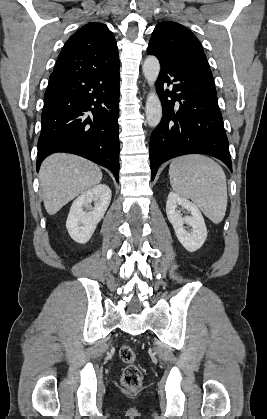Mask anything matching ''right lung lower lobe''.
I'll use <instances>...</instances> for the list:
<instances>
[{
  "label": "right lung lower lobe",
  "mask_w": 267,
  "mask_h": 419,
  "mask_svg": "<svg viewBox=\"0 0 267 419\" xmlns=\"http://www.w3.org/2000/svg\"><path fill=\"white\" fill-rule=\"evenodd\" d=\"M119 63L52 73L44 95L37 171L55 152L87 158L119 176Z\"/></svg>",
  "instance_id": "obj_1"
}]
</instances>
